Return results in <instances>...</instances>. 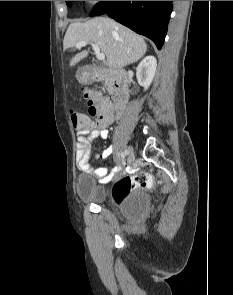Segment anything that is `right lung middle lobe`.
Masks as SVG:
<instances>
[{
    "label": "right lung middle lobe",
    "mask_w": 233,
    "mask_h": 295,
    "mask_svg": "<svg viewBox=\"0 0 233 295\" xmlns=\"http://www.w3.org/2000/svg\"><path fill=\"white\" fill-rule=\"evenodd\" d=\"M71 2L72 1H66V3H67L68 6H71Z\"/></svg>",
    "instance_id": "right-lung-middle-lobe-1"
}]
</instances>
